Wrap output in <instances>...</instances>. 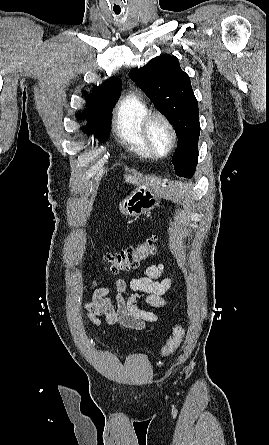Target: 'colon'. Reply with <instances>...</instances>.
I'll return each instance as SVG.
<instances>
[{
  "instance_id": "colon-1",
  "label": "colon",
  "mask_w": 269,
  "mask_h": 445,
  "mask_svg": "<svg viewBox=\"0 0 269 445\" xmlns=\"http://www.w3.org/2000/svg\"><path fill=\"white\" fill-rule=\"evenodd\" d=\"M157 242L158 237L154 235L137 246L107 252L103 255V259L108 264V269L113 273L132 270L137 268L142 260L156 252ZM184 334V328L176 326L171 337L162 347L161 354L163 356L172 354L181 344Z\"/></svg>"
}]
</instances>
